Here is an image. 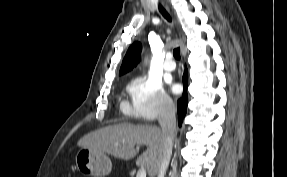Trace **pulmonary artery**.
<instances>
[{"instance_id":"1","label":"pulmonary artery","mask_w":287,"mask_h":177,"mask_svg":"<svg viewBox=\"0 0 287 177\" xmlns=\"http://www.w3.org/2000/svg\"><path fill=\"white\" fill-rule=\"evenodd\" d=\"M163 67L168 72H171L175 69V63L173 61V54L171 52H167L165 54V61H164Z\"/></svg>"}]
</instances>
